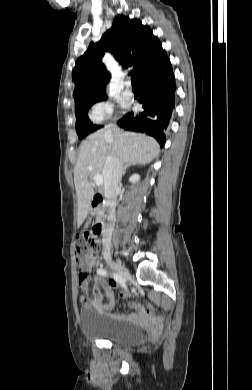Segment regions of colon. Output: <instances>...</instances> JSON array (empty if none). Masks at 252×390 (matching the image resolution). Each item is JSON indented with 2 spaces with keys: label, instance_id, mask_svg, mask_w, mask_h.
<instances>
[{
  "label": "colon",
  "instance_id": "colon-1",
  "mask_svg": "<svg viewBox=\"0 0 252 390\" xmlns=\"http://www.w3.org/2000/svg\"><path fill=\"white\" fill-rule=\"evenodd\" d=\"M99 251L98 234L93 229L78 237L75 241V255L78 264L81 266ZM81 280L87 279V274H80Z\"/></svg>",
  "mask_w": 252,
  "mask_h": 390
}]
</instances>
